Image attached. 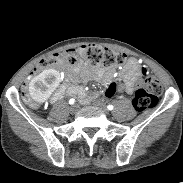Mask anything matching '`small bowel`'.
<instances>
[{
  "instance_id": "small-bowel-1",
  "label": "small bowel",
  "mask_w": 183,
  "mask_h": 183,
  "mask_svg": "<svg viewBox=\"0 0 183 183\" xmlns=\"http://www.w3.org/2000/svg\"><path fill=\"white\" fill-rule=\"evenodd\" d=\"M75 69L82 71L85 80L107 82L110 79H112L115 75L114 69L109 67H100V66H96L93 68L76 67ZM120 75L123 78V84L118 85V91H124L128 94H131L134 92L135 88L141 83L142 73L140 71L137 61L134 58L129 59L127 64L121 70ZM79 83L80 79H75L74 84L78 85ZM70 89L66 88L65 86H62L53 95L52 100L53 101L60 100L66 93H69Z\"/></svg>"
}]
</instances>
